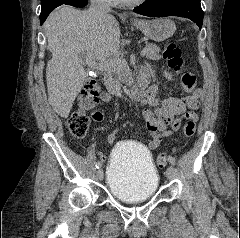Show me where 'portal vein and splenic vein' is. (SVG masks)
<instances>
[{
  "instance_id": "1",
  "label": "portal vein and splenic vein",
  "mask_w": 240,
  "mask_h": 238,
  "mask_svg": "<svg viewBox=\"0 0 240 238\" xmlns=\"http://www.w3.org/2000/svg\"><path fill=\"white\" fill-rule=\"evenodd\" d=\"M148 52V47H144L141 51V56H144L146 53ZM85 63L89 66V67H96L99 69H104V70H112L115 68L116 65L119 64V60L114 59V60H110V61H101L100 63H96L95 61V57L93 56H88L85 59Z\"/></svg>"
}]
</instances>
